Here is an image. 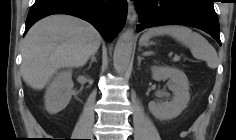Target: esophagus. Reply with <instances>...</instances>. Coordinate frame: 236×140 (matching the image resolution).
Returning <instances> with one entry per match:
<instances>
[{"mask_svg": "<svg viewBox=\"0 0 236 140\" xmlns=\"http://www.w3.org/2000/svg\"><path fill=\"white\" fill-rule=\"evenodd\" d=\"M137 19V12H136V9L134 7V5L129 2L128 4V12H127V21L129 24H134L135 21Z\"/></svg>", "mask_w": 236, "mask_h": 140, "instance_id": "1", "label": "esophagus"}]
</instances>
